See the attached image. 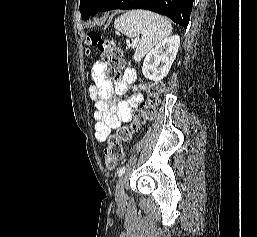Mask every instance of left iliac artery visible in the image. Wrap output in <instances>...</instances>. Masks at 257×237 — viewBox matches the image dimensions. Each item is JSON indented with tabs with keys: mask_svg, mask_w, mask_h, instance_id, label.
<instances>
[{
	"mask_svg": "<svg viewBox=\"0 0 257 237\" xmlns=\"http://www.w3.org/2000/svg\"><path fill=\"white\" fill-rule=\"evenodd\" d=\"M125 169H126L125 166L121 167V169H120L119 172H118V176H119V177H121V176L125 173Z\"/></svg>",
	"mask_w": 257,
	"mask_h": 237,
	"instance_id": "obj_1",
	"label": "left iliac artery"
}]
</instances>
